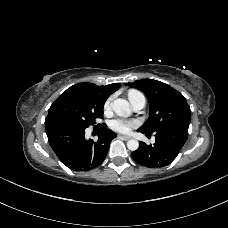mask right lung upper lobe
Here are the masks:
<instances>
[{
    "label": "right lung upper lobe",
    "mask_w": 228,
    "mask_h": 228,
    "mask_svg": "<svg viewBox=\"0 0 228 228\" xmlns=\"http://www.w3.org/2000/svg\"><path fill=\"white\" fill-rule=\"evenodd\" d=\"M78 87L86 88L91 92L98 94L103 98H108L112 93L119 89L120 83L109 84L106 86H97L92 83L84 82L76 84Z\"/></svg>",
    "instance_id": "obj_1"
}]
</instances>
